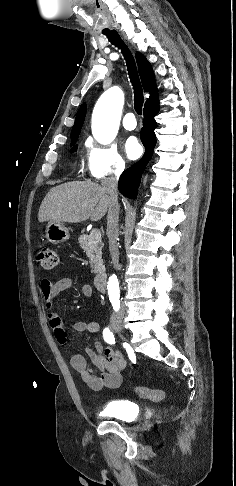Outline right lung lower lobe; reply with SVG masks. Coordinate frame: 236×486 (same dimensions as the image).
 Listing matches in <instances>:
<instances>
[{
	"label": "right lung lower lobe",
	"instance_id": "obj_1",
	"mask_svg": "<svg viewBox=\"0 0 236 486\" xmlns=\"http://www.w3.org/2000/svg\"><path fill=\"white\" fill-rule=\"evenodd\" d=\"M158 112V98L145 103L143 128L140 132V138L145 147V154L139 162L126 169L122 173L118 182L119 191L124 196L131 199H136L144 168L146 167L153 155V151L156 145V136L154 130L157 128V123L154 117L158 114Z\"/></svg>",
	"mask_w": 236,
	"mask_h": 486
}]
</instances>
